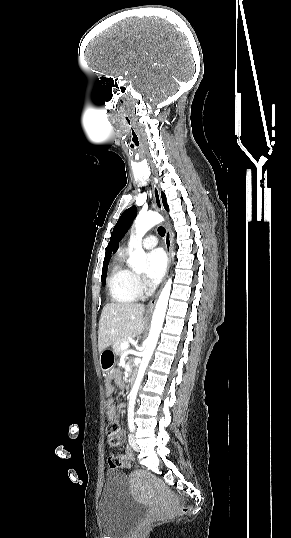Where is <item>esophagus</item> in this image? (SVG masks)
Returning a JSON list of instances; mask_svg holds the SVG:
<instances>
[{"label": "esophagus", "mask_w": 291, "mask_h": 538, "mask_svg": "<svg viewBox=\"0 0 291 538\" xmlns=\"http://www.w3.org/2000/svg\"><path fill=\"white\" fill-rule=\"evenodd\" d=\"M152 188H153V193H154V199H155V203H156V206H157V209L161 212V213H165V210H164V206H163V203H162V198H161V193H160V188L159 186L153 181L152 182ZM164 242H165V247H166V252H167V256H168V261H167V267L169 268L170 266V262H171V252H172V243H171V233L169 231V229L166 227V233H165V239H164ZM161 289L157 292V294L149 301L148 303V310H153L155 304H156V301H157V298H158V295L160 293Z\"/></svg>", "instance_id": "esophagus-1"}]
</instances>
